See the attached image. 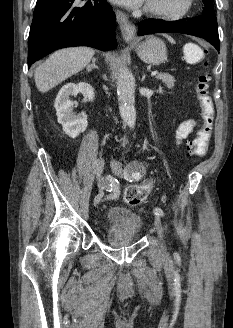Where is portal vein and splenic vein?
<instances>
[{
  "instance_id": "obj_1",
  "label": "portal vein and splenic vein",
  "mask_w": 233,
  "mask_h": 328,
  "mask_svg": "<svg viewBox=\"0 0 233 328\" xmlns=\"http://www.w3.org/2000/svg\"><path fill=\"white\" fill-rule=\"evenodd\" d=\"M159 73H158V71H154V72H152V76H156V75H158Z\"/></svg>"
}]
</instances>
